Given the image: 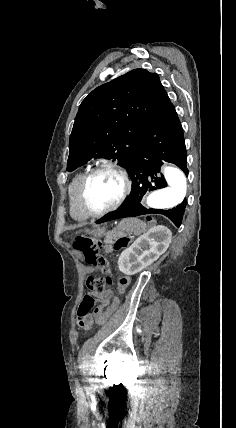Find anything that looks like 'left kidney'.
I'll return each mask as SVG.
<instances>
[{
  "mask_svg": "<svg viewBox=\"0 0 236 428\" xmlns=\"http://www.w3.org/2000/svg\"><path fill=\"white\" fill-rule=\"evenodd\" d=\"M172 234L165 226H154L119 256L118 268L126 276L138 274L158 260L169 248Z\"/></svg>",
  "mask_w": 236,
  "mask_h": 428,
  "instance_id": "5707ae66",
  "label": "left kidney"
}]
</instances>
